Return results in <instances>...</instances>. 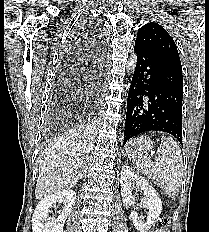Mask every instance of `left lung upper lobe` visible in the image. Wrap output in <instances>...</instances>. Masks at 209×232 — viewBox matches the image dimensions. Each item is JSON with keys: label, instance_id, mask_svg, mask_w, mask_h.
Segmentation results:
<instances>
[{"label": "left lung upper lobe", "instance_id": "1", "mask_svg": "<svg viewBox=\"0 0 209 232\" xmlns=\"http://www.w3.org/2000/svg\"><path fill=\"white\" fill-rule=\"evenodd\" d=\"M135 44L146 49L166 64L182 69L176 44L158 23L150 22L142 26L138 30Z\"/></svg>", "mask_w": 209, "mask_h": 232}]
</instances>
